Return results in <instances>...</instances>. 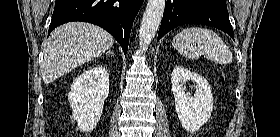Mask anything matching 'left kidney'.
Listing matches in <instances>:
<instances>
[{"instance_id":"5707ae66","label":"left kidney","mask_w":280,"mask_h":137,"mask_svg":"<svg viewBox=\"0 0 280 137\" xmlns=\"http://www.w3.org/2000/svg\"><path fill=\"white\" fill-rule=\"evenodd\" d=\"M193 82L194 95L185 92V84ZM172 92L175 98V108L182 127L188 132L198 131L210 118L213 110L211 87L201 75L176 66L171 74Z\"/></svg>"}]
</instances>
